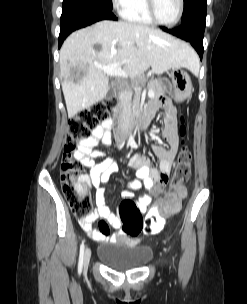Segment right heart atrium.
<instances>
[{"instance_id": "right-heart-atrium-1", "label": "right heart atrium", "mask_w": 247, "mask_h": 304, "mask_svg": "<svg viewBox=\"0 0 247 304\" xmlns=\"http://www.w3.org/2000/svg\"><path fill=\"white\" fill-rule=\"evenodd\" d=\"M132 1L133 0H112V4L117 10L123 12Z\"/></svg>"}]
</instances>
